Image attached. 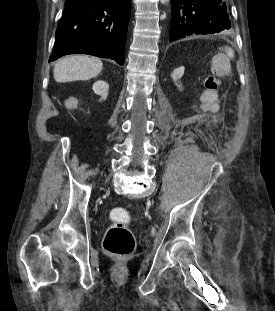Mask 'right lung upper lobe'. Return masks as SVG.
I'll return each mask as SVG.
<instances>
[{
	"instance_id": "obj_1",
	"label": "right lung upper lobe",
	"mask_w": 275,
	"mask_h": 311,
	"mask_svg": "<svg viewBox=\"0 0 275 311\" xmlns=\"http://www.w3.org/2000/svg\"><path fill=\"white\" fill-rule=\"evenodd\" d=\"M76 1H78V0H67V3H66V4H68V3H73V2H76Z\"/></svg>"
}]
</instances>
